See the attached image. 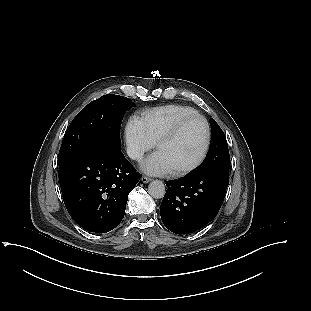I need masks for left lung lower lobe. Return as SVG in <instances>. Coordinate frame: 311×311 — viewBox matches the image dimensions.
Masks as SVG:
<instances>
[{
    "mask_svg": "<svg viewBox=\"0 0 311 311\" xmlns=\"http://www.w3.org/2000/svg\"><path fill=\"white\" fill-rule=\"evenodd\" d=\"M228 184V177L214 172L166 182L168 189L160 206L163 224L176 234L201 229L218 214Z\"/></svg>",
    "mask_w": 311,
    "mask_h": 311,
    "instance_id": "0a47b994",
    "label": "left lung lower lobe"
}]
</instances>
